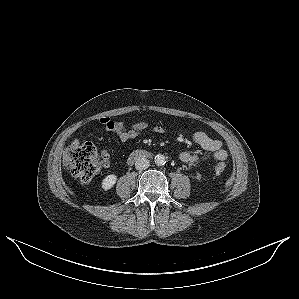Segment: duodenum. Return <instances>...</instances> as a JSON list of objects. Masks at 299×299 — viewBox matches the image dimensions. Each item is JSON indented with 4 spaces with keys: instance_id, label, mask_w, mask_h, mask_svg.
I'll use <instances>...</instances> for the list:
<instances>
[{
    "instance_id": "duodenum-1",
    "label": "duodenum",
    "mask_w": 299,
    "mask_h": 299,
    "mask_svg": "<svg viewBox=\"0 0 299 299\" xmlns=\"http://www.w3.org/2000/svg\"><path fill=\"white\" fill-rule=\"evenodd\" d=\"M148 157V153L147 151L144 150H137L134 151L128 158V163L130 165L134 164L137 160L141 159V158H146Z\"/></svg>"
}]
</instances>
